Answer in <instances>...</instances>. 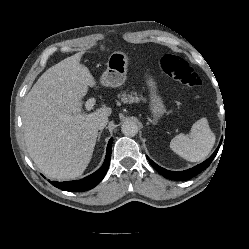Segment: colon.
<instances>
[{
    "label": "colon",
    "mask_w": 249,
    "mask_h": 249,
    "mask_svg": "<svg viewBox=\"0 0 249 249\" xmlns=\"http://www.w3.org/2000/svg\"><path fill=\"white\" fill-rule=\"evenodd\" d=\"M160 66L167 76L184 86L197 87L201 84L199 74L179 56L164 55L161 58Z\"/></svg>",
    "instance_id": "obj_1"
}]
</instances>
